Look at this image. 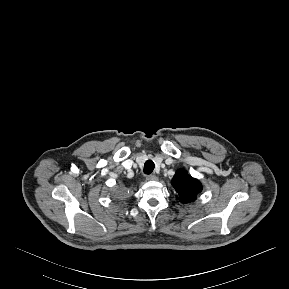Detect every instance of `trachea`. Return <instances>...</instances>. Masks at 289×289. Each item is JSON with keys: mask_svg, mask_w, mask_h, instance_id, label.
<instances>
[{"mask_svg": "<svg viewBox=\"0 0 289 289\" xmlns=\"http://www.w3.org/2000/svg\"><path fill=\"white\" fill-rule=\"evenodd\" d=\"M155 164L152 160H147L144 164V173L151 174L154 170Z\"/></svg>", "mask_w": 289, "mask_h": 289, "instance_id": "trachea-1", "label": "trachea"}]
</instances>
